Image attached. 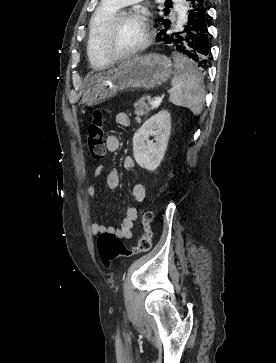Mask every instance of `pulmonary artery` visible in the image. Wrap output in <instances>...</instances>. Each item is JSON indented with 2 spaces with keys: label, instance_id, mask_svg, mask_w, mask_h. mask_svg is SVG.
Wrapping results in <instances>:
<instances>
[{
  "label": "pulmonary artery",
  "instance_id": "pulmonary-artery-1",
  "mask_svg": "<svg viewBox=\"0 0 276 363\" xmlns=\"http://www.w3.org/2000/svg\"><path fill=\"white\" fill-rule=\"evenodd\" d=\"M114 3H116L119 7H123V6H127L135 1H138V0H110ZM179 2L176 3V6H181L182 4L180 3L181 0H178ZM179 13H182L181 10H178Z\"/></svg>",
  "mask_w": 276,
  "mask_h": 363
}]
</instances>
